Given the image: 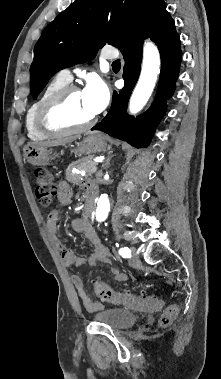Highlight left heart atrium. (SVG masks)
I'll return each mask as SVG.
<instances>
[{
	"instance_id": "obj_1",
	"label": "left heart atrium",
	"mask_w": 221,
	"mask_h": 379,
	"mask_svg": "<svg viewBox=\"0 0 221 379\" xmlns=\"http://www.w3.org/2000/svg\"><path fill=\"white\" fill-rule=\"evenodd\" d=\"M81 93L87 107L93 115L99 114L104 110L110 99V92L107 85L97 76L88 78Z\"/></svg>"
}]
</instances>
